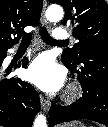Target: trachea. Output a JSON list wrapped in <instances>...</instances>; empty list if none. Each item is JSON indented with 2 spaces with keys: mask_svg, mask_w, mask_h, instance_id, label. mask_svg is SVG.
<instances>
[{
  "mask_svg": "<svg viewBox=\"0 0 108 127\" xmlns=\"http://www.w3.org/2000/svg\"><path fill=\"white\" fill-rule=\"evenodd\" d=\"M39 32H40V36L42 40L46 44H65L66 43V41H57L53 39L45 27H41ZM31 39H32V34H27L26 36L23 37L21 41V45H29L31 43Z\"/></svg>",
  "mask_w": 108,
  "mask_h": 127,
  "instance_id": "trachea-1",
  "label": "trachea"
}]
</instances>
